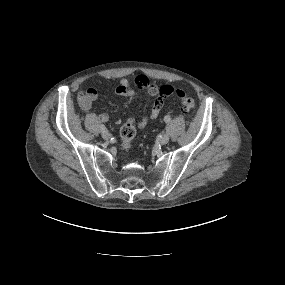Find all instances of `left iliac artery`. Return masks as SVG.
<instances>
[{
  "mask_svg": "<svg viewBox=\"0 0 285 285\" xmlns=\"http://www.w3.org/2000/svg\"><path fill=\"white\" fill-rule=\"evenodd\" d=\"M171 120V118H170V116H165L164 117V121L167 123V122H169Z\"/></svg>",
  "mask_w": 285,
  "mask_h": 285,
  "instance_id": "obj_1",
  "label": "left iliac artery"
}]
</instances>
